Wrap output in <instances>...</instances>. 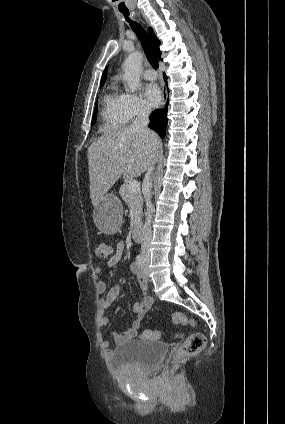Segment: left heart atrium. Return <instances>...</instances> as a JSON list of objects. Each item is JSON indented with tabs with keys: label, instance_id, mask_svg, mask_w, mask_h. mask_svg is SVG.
Returning <instances> with one entry per match:
<instances>
[{
	"label": "left heart atrium",
	"instance_id": "left-heart-atrium-1",
	"mask_svg": "<svg viewBox=\"0 0 285 424\" xmlns=\"http://www.w3.org/2000/svg\"><path fill=\"white\" fill-rule=\"evenodd\" d=\"M148 102L152 106H158L161 102L162 96L159 87L156 84H149L144 90Z\"/></svg>",
	"mask_w": 285,
	"mask_h": 424
}]
</instances>
